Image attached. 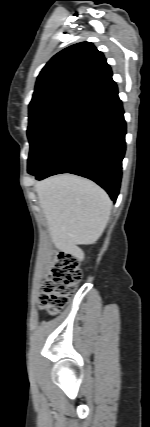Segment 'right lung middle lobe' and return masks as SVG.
Instances as JSON below:
<instances>
[{"label": "right lung middle lobe", "instance_id": "right-lung-middle-lobe-1", "mask_svg": "<svg viewBox=\"0 0 150 427\" xmlns=\"http://www.w3.org/2000/svg\"><path fill=\"white\" fill-rule=\"evenodd\" d=\"M79 109L69 105H53L29 113V174L37 169L54 141Z\"/></svg>", "mask_w": 150, "mask_h": 427}]
</instances>
